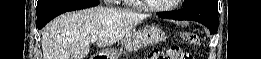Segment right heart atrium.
<instances>
[{"label": "right heart atrium", "instance_id": "obj_1", "mask_svg": "<svg viewBox=\"0 0 261 59\" xmlns=\"http://www.w3.org/2000/svg\"><path fill=\"white\" fill-rule=\"evenodd\" d=\"M115 0H105V2H107V3H112V2H114ZM116 2V1H115Z\"/></svg>", "mask_w": 261, "mask_h": 59}]
</instances>
